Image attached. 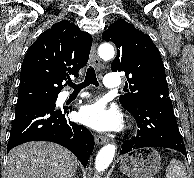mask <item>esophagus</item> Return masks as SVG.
I'll list each match as a JSON object with an SVG mask.
<instances>
[{
    "label": "esophagus",
    "instance_id": "1",
    "mask_svg": "<svg viewBox=\"0 0 194 178\" xmlns=\"http://www.w3.org/2000/svg\"><path fill=\"white\" fill-rule=\"evenodd\" d=\"M90 62L92 63V65L94 67H96L97 69H99V66H100V61H99V58L97 56V51H96V44L93 43L92 47H91V52H90ZM95 141L97 144H105L109 141V139L107 137H104V136H99V135H96L95 136Z\"/></svg>",
    "mask_w": 194,
    "mask_h": 178
}]
</instances>
